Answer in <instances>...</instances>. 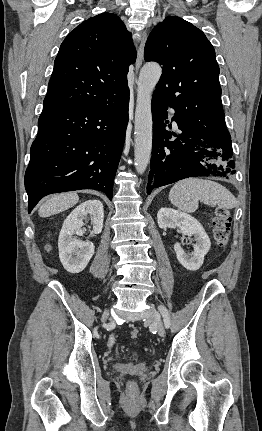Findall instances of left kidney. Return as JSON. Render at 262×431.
Segmentation results:
<instances>
[{"label":"left kidney","mask_w":262,"mask_h":431,"mask_svg":"<svg viewBox=\"0 0 262 431\" xmlns=\"http://www.w3.org/2000/svg\"><path fill=\"white\" fill-rule=\"evenodd\" d=\"M158 225L162 229L179 227L180 232L188 237H194L193 252L187 254L179 243L174 245L178 261L188 270H198L208 253L211 242L203 226L194 217L171 208H161L157 213Z\"/></svg>","instance_id":"1"}]
</instances>
